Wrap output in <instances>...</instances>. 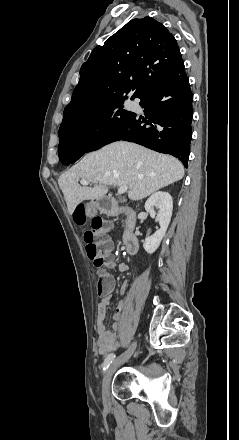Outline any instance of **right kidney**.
I'll return each instance as SVG.
<instances>
[{
	"mask_svg": "<svg viewBox=\"0 0 239 440\" xmlns=\"http://www.w3.org/2000/svg\"><path fill=\"white\" fill-rule=\"evenodd\" d=\"M158 212H155V208ZM146 212L150 214L151 218H156V222H159L160 228L156 230L153 236L145 238L143 248L148 254H153L157 248L160 246L161 240H163L166 230L171 222L172 210H173V200L168 194V192H155L144 206Z\"/></svg>",
	"mask_w": 239,
	"mask_h": 440,
	"instance_id": "1",
	"label": "right kidney"
}]
</instances>
